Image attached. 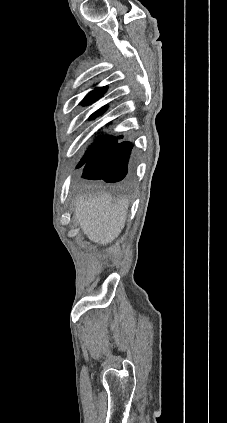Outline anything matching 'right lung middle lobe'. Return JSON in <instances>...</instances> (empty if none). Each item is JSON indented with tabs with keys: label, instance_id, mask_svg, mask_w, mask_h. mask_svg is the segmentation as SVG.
<instances>
[{
	"label": "right lung middle lobe",
	"instance_id": "1",
	"mask_svg": "<svg viewBox=\"0 0 227 423\" xmlns=\"http://www.w3.org/2000/svg\"><path fill=\"white\" fill-rule=\"evenodd\" d=\"M94 155H85L83 157V159L80 161V163L78 164V168L81 167L82 165H84L89 159H91Z\"/></svg>",
	"mask_w": 227,
	"mask_h": 423
}]
</instances>
